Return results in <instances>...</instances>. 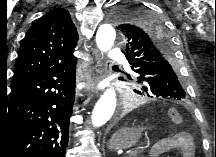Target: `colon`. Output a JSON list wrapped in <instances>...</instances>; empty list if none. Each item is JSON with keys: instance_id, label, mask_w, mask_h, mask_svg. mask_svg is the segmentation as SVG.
<instances>
[{"instance_id": "colon-1", "label": "colon", "mask_w": 216, "mask_h": 157, "mask_svg": "<svg viewBox=\"0 0 216 157\" xmlns=\"http://www.w3.org/2000/svg\"><path fill=\"white\" fill-rule=\"evenodd\" d=\"M168 117L174 125H179L183 122L181 113L175 108L168 111Z\"/></svg>"}]
</instances>
